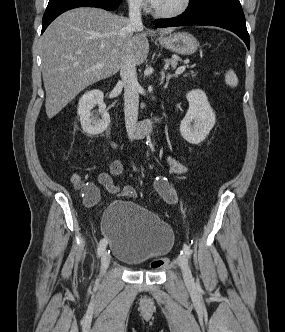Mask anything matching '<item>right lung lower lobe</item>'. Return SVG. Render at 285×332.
I'll return each mask as SVG.
<instances>
[{"label": "right lung lower lobe", "instance_id": "1", "mask_svg": "<svg viewBox=\"0 0 285 332\" xmlns=\"http://www.w3.org/2000/svg\"><path fill=\"white\" fill-rule=\"evenodd\" d=\"M121 0H49L42 20V32L63 12L77 7H97L105 10H114Z\"/></svg>", "mask_w": 285, "mask_h": 332}]
</instances>
